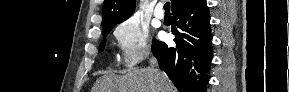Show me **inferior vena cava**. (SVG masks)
I'll use <instances>...</instances> for the list:
<instances>
[{
	"label": "inferior vena cava",
	"instance_id": "1",
	"mask_svg": "<svg viewBox=\"0 0 289 92\" xmlns=\"http://www.w3.org/2000/svg\"><path fill=\"white\" fill-rule=\"evenodd\" d=\"M150 65L153 69H154V67H156L158 65L157 59L155 57L150 58ZM154 70L156 72L157 77L160 78L161 71H159L158 69H154Z\"/></svg>",
	"mask_w": 289,
	"mask_h": 92
}]
</instances>
